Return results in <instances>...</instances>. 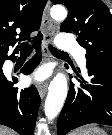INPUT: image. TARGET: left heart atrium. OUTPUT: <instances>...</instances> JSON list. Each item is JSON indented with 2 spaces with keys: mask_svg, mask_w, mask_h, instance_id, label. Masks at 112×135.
<instances>
[{
  "mask_svg": "<svg viewBox=\"0 0 112 135\" xmlns=\"http://www.w3.org/2000/svg\"><path fill=\"white\" fill-rule=\"evenodd\" d=\"M46 76V74L43 71H39L36 75H35V79L36 80H42L44 79Z\"/></svg>",
  "mask_w": 112,
  "mask_h": 135,
  "instance_id": "1",
  "label": "left heart atrium"
}]
</instances>
